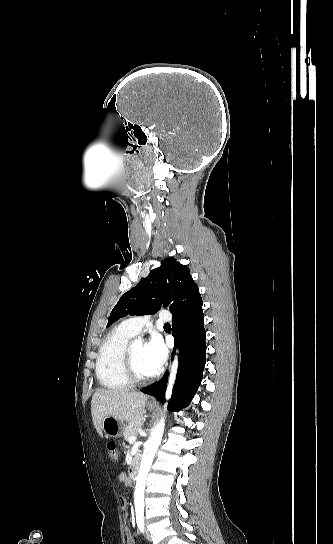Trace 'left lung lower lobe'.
<instances>
[{
  "instance_id": "left-lung-lower-lobe-1",
  "label": "left lung lower lobe",
  "mask_w": 333,
  "mask_h": 544,
  "mask_svg": "<svg viewBox=\"0 0 333 544\" xmlns=\"http://www.w3.org/2000/svg\"><path fill=\"white\" fill-rule=\"evenodd\" d=\"M202 299L172 314V334L175 346L179 348V366L172 397L169 401L170 411H179L187 407L194 397L203 377L206 364V331ZM172 356L174 354L172 353ZM168 374L161 382L154 383L141 391L155 396L164 403Z\"/></svg>"
}]
</instances>
